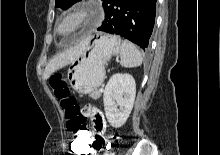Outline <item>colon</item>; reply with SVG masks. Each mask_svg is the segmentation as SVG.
<instances>
[{
	"label": "colon",
	"instance_id": "5ec220e1",
	"mask_svg": "<svg viewBox=\"0 0 220 155\" xmlns=\"http://www.w3.org/2000/svg\"><path fill=\"white\" fill-rule=\"evenodd\" d=\"M50 87L60 106L64 110L66 127L70 132H73L69 146L71 147L70 155H89L90 147L93 141V150L101 155H110L108 149H116V144H106V140L102 136L103 126L97 125V134L93 137L91 125L86 123L84 112H81L76 99L71 95L68 83L61 73L53 74L49 79Z\"/></svg>",
	"mask_w": 220,
	"mask_h": 155
}]
</instances>
